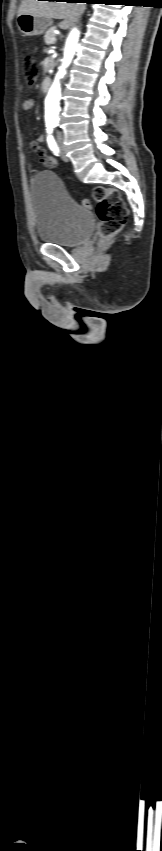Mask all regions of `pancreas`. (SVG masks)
<instances>
[{"instance_id": "obj_1", "label": "pancreas", "mask_w": 162, "mask_h": 851, "mask_svg": "<svg viewBox=\"0 0 162 851\" xmlns=\"http://www.w3.org/2000/svg\"><path fill=\"white\" fill-rule=\"evenodd\" d=\"M54 29H55V28H54V27H52V28H50L49 30H47V32H46V34H45V36H44V40H45V43H46L47 45H51V44H53V43L55 42V41H54V38H55Z\"/></svg>"}]
</instances>
